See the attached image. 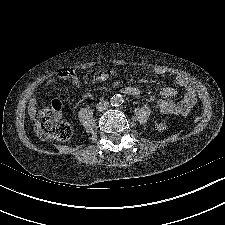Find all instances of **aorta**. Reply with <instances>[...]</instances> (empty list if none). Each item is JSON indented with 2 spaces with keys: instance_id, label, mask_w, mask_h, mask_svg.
<instances>
[{
  "instance_id": "aorta-1",
  "label": "aorta",
  "mask_w": 225,
  "mask_h": 225,
  "mask_svg": "<svg viewBox=\"0 0 225 225\" xmlns=\"http://www.w3.org/2000/svg\"><path fill=\"white\" fill-rule=\"evenodd\" d=\"M121 97L120 96H118V95H116V96H113L112 98H111V100H110V104H111V106H113V107H117V106H119L120 104H121Z\"/></svg>"
}]
</instances>
